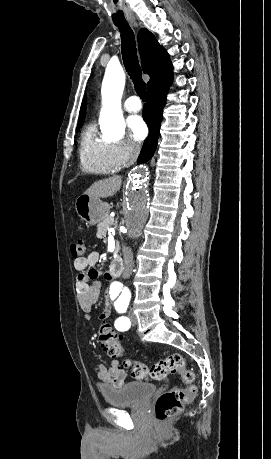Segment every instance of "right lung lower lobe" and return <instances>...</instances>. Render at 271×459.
<instances>
[{"instance_id": "right-lung-lower-lobe-1", "label": "right lung lower lobe", "mask_w": 271, "mask_h": 459, "mask_svg": "<svg viewBox=\"0 0 271 459\" xmlns=\"http://www.w3.org/2000/svg\"><path fill=\"white\" fill-rule=\"evenodd\" d=\"M171 82L172 73L161 78L147 89L148 102L144 106L143 117L149 126V135L144 141L138 164L149 161L156 150L162 112Z\"/></svg>"}]
</instances>
